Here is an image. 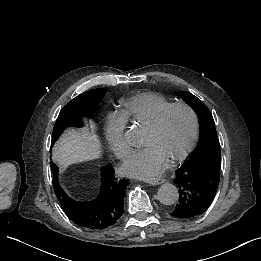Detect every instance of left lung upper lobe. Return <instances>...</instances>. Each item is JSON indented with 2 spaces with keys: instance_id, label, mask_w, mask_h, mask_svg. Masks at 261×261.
Instances as JSON below:
<instances>
[{
  "instance_id": "obj_1",
  "label": "left lung upper lobe",
  "mask_w": 261,
  "mask_h": 261,
  "mask_svg": "<svg viewBox=\"0 0 261 261\" xmlns=\"http://www.w3.org/2000/svg\"><path fill=\"white\" fill-rule=\"evenodd\" d=\"M181 97L196 112L200 123L198 144L183 165H193L195 167L212 165L220 168V144L211 112L201 100L190 92L184 91Z\"/></svg>"
}]
</instances>
